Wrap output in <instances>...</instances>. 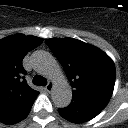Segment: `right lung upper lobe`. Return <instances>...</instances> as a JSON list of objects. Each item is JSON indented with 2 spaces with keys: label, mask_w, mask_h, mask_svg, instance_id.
<instances>
[{
  "label": "right lung upper lobe",
  "mask_w": 128,
  "mask_h": 128,
  "mask_svg": "<svg viewBox=\"0 0 128 128\" xmlns=\"http://www.w3.org/2000/svg\"><path fill=\"white\" fill-rule=\"evenodd\" d=\"M42 43L34 36L16 34L0 40V117L39 92L28 86L22 60Z\"/></svg>",
  "instance_id": "right-lung-upper-lobe-1"
}]
</instances>
